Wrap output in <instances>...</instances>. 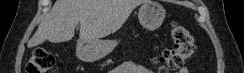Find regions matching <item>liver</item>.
Returning a JSON list of instances; mask_svg holds the SVG:
<instances>
[{
    "label": "liver",
    "instance_id": "6515ba94",
    "mask_svg": "<svg viewBox=\"0 0 244 73\" xmlns=\"http://www.w3.org/2000/svg\"><path fill=\"white\" fill-rule=\"evenodd\" d=\"M147 0H56L28 47L69 41L80 24V41H93L119 30L132 11Z\"/></svg>",
    "mask_w": 244,
    "mask_h": 73
}]
</instances>
